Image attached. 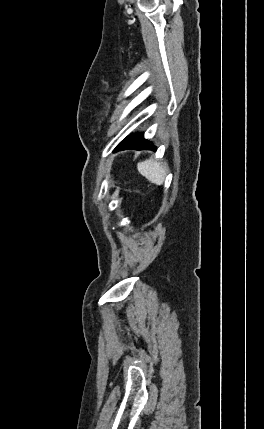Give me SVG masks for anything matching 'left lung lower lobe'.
<instances>
[{
  "label": "left lung lower lobe",
  "instance_id": "0a47b994",
  "mask_svg": "<svg viewBox=\"0 0 264 429\" xmlns=\"http://www.w3.org/2000/svg\"><path fill=\"white\" fill-rule=\"evenodd\" d=\"M126 149H136V150H155L153 144H149L147 140L143 138V134H134L125 138L115 149V151L126 150Z\"/></svg>",
  "mask_w": 264,
  "mask_h": 429
}]
</instances>
